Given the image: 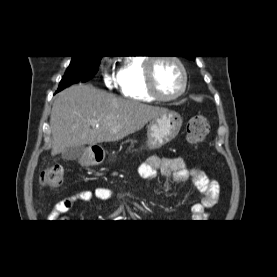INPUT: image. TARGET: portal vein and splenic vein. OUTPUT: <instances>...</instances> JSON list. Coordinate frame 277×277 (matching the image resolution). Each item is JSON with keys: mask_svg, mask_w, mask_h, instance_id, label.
I'll return each mask as SVG.
<instances>
[{"mask_svg": "<svg viewBox=\"0 0 277 277\" xmlns=\"http://www.w3.org/2000/svg\"><path fill=\"white\" fill-rule=\"evenodd\" d=\"M91 124L93 125V127H98V124L96 121H92Z\"/></svg>", "mask_w": 277, "mask_h": 277, "instance_id": "portal-vein-and-splenic-vein-1", "label": "portal vein and splenic vein"}]
</instances>
